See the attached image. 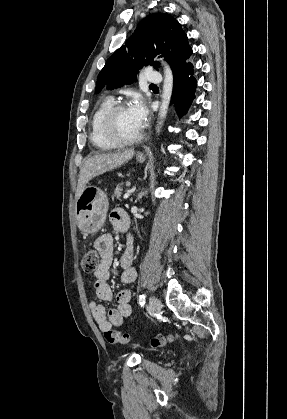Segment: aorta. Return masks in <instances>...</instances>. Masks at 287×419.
<instances>
[{"mask_svg": "<svg viewBox=\"0 0 287 419\" xmlns=\"http://www.w3.org/2000/svg\"><path fill=\"white\" fill-rule=\"evenodd\" d=\"M164 67V83H163V94H162V102L159 110V120L157 125V132L159 133L160 128L162 126L163 120L166 118L168 106L171 100V95L173 91V73L170 66L161 61Z\"/></svg>", "mask_w": 287, "mask_h": 419, "instance_id": "aorta-1", "label": "aorta"}]
</instances>
